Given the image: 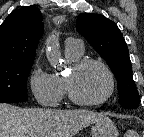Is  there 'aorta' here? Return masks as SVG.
I'll return each instance as SVG.
<instances>
[{
	"label": "aorta",
	"instance_id": "762f6f07",
	"mask_svg": "<svg viewBox=\"0 0 144 137\" xmlns=\"http://www.w3.org/2000/svg\"><path fill=\"white\" fill-rule=\"evenodd\" d=\"M46 57L52 66H56L61 61L59 51V42L55 38H50L46 41Z\"/></svg>",
	"mask_w": 144,
	"mask_h": 137
}]
</instances>
